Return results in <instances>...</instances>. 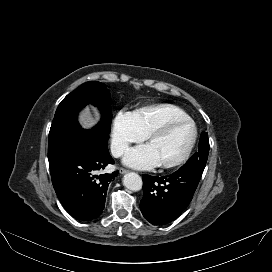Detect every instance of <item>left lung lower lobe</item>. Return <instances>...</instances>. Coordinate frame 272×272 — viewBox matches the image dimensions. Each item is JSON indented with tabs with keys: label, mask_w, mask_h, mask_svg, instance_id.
I'll use <instances>...</instances> for the list:
<instances>
[{
	"label": "left lung lower lobe",
	"mask_w": 272,
	"mask_h": 272,
	"mask_svg": "<svg viewBox=\"0 0 272 272\" xmlns=\"http://www.w3.org/2000/svg\"><path fill=\"white\" fill-rule=\"evenodd\" d=\"M204 168L188 167L162 177L142 175L143 198L140 209L153 225L175 220L189 205Z\"/></svg>",
	"instance_id": "1"
}]
</instances>
